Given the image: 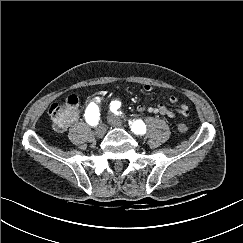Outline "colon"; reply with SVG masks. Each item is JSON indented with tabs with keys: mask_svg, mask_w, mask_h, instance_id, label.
Masks as SVG:
<instances>
[{
	"mask_svg": "<svg viewBox=\"0 0 243 243\" xmlns=\"http://www.w3.org/2000/svg\"><path fill=\"white\" fill-rule=\"evenodd\" d=\"M78 98L71 95L67 98L64 104H53L50 108V117L53 126L57 131L65 130L71 123H73L78 116ZM180 132H187L188 125L185 122L178 124Z\"/></svg>",
	"mask_w": 243,
	"mask_h": 243,
	"instance_id": "1",
	"label": "colon"
}]
</instances>
